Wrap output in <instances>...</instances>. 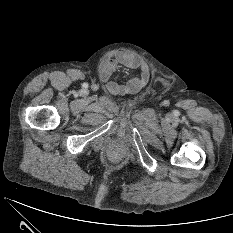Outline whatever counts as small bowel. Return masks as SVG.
Wrapping results in <instances>:
<instances>
[{"label":"small bowel","instance_id":"obj_1","mask_svg":"<svg viewBox=\"0 0 233 233\" xmlns=\"http://www.w3.org/2000/svg\"><path fill=\"white\" fill-rule=\"evenodd\" d=\"M121 64L139 70V75L124 84L111 80V76ZM99 77L106 84V89L113 95L134 94L146 86L150 78L147 64L136 54L128 50H116L111 53L99 68Z\"/></svg>","mask_w":233,"mask_h":233}]
</instances>
